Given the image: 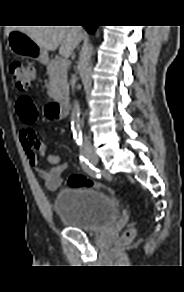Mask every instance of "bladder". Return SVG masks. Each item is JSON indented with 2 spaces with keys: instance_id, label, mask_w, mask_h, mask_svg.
<instances>
[{
  "instance_id": "obj_1",
  "label": "bladder",
  "mask_w": 184,
  "mask_h": 292,
  "mask_svg": "<svg viewBox=\"0 0 184 292\" xmlns=\"http://www.w3.org/2000/svg\"><path fill=\"white\" fill-rule=\"evenodd\" d=\"M54 212L69 228L98 232L112 225L118 217L115 200L92 187H68L55 198Z\"/></svg>"
}]
</instances>
